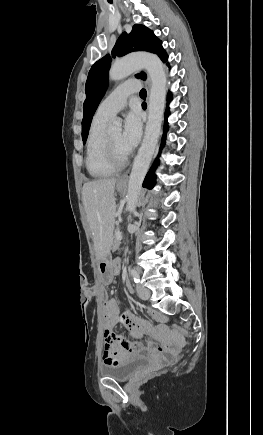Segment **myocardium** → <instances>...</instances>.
Segmentation results:
<instances>
[{"label": "myocardium", "mask_w": 263, "mask_h": 435, "mask_svg": "<svg viewBox=\"0 0 263 435\" xmlns=\"http://www.w3.org/2000/svg\"><path fill=\"white\" fill-rule=\"evenodd\" d=\"M104 151L107 162L114 169H121L126 166L128 162V153L120 155L111 143L108 134H106L104 140Z\"/></svg>", "instance_id": "myocardium-1"}]
</instances>
